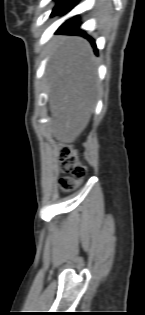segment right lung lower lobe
Here are the masks:
<instances>
[{
	"label": "right lung lower lobe",
	"instance_id": "98d812e1",
	"mask_svg": "<svg viewBox=\"0 0 145 315\" xmlns=\"http://www.w3.org/2000/svg\"><path fill=\"white\" fill-rule=\"evenodd\" d=\"M79 0H68L64 6L60 9L58 13L65 14L67 13L70 9H72L73 6L77 4ZM80 23L77 21V17H73L69 20H67L65 23H63L60 28L59 32L61 33H68V34H81L84 35L85 37L89 38L95 47L94 40L90 37L87 36V34L79 29ZM95 52L97 53V49H95Z\"/></svg>",
	"mask_w": 145,
	"mask_h": 315
}]
</instances>
